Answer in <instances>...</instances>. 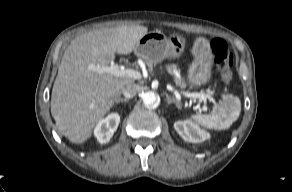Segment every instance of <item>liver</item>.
<instances>
[{"label":"liver","instance_id":"1","mask_svg":"<svg viewBox=\"0 0 292 192\" xmlns=\"http://www.w3.org/2000/svg\"><path fill=\"white\" fill-rule=\"evenodd\" d=\"M146 34L145 26L93 29L66 48L52 89L51 114L59 132L71 142L90 138L125 86L134 82L97 68L109 66L115 53H131Z\"/></svg>","mask_w":292,"mask_h":192}]
</instances>
